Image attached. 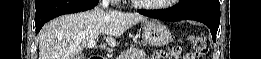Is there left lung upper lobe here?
I'll list each match as a JSON object with an SVG mask.
<instances>
[{
    "label": "left lung upper lobe",
    "mask_w": 261,
    "mask_h": 59,
    "mask_svg": "<svg viewBox=\"0 0 261 59\" xmlns=\"http://www.w3.org/2000/svg\"><path fill=\"white\" fill-rule=\"evenodd\" d=\"M186 1H189V0H180V2H186Z\"/></svg>",
    "instance_id": "5c2ea615"
}]
</instances>
